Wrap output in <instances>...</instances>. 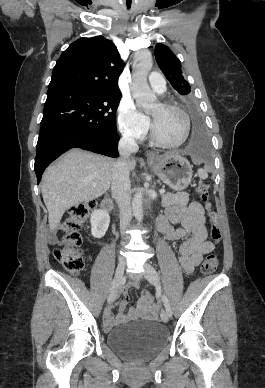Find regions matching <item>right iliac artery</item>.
Masks as SVG:
<instances>
[{
	"mask_svg": "<svg viewBox=\"0 0 265 388\" xmlns=\"http://www.w3.org/2000/svg\"><path fill=\"white\" fill-rule=\"evenodd\" d=\"M115 284H116V280H113L111 284V291L115 288Z\"/></svg>",
	"mask_w": 265,
	"mask_h": 388,
	"instance_id": "obj_1",
	"label": "right iliac artery"
}]
</instances>
